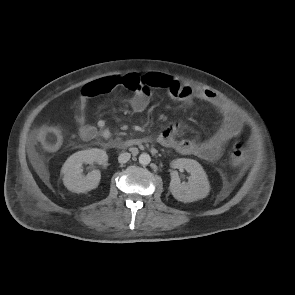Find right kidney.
Listing matches in <instances>:
<instances>
[{
  "instance_id": "right-kidney-1",
  "label": "right kidney",
  "mask_w": 295,
  "mask_h": 295,
  "mask_svg": "<svg viewBox=\"0 0 295 295\" xmlns=\"http://www.w3.org/2000/svg\"><path fill=\"white\" fill-rule=\"evenodd\" d=\"M108 156L104 150L92 148L78 151L71 155L62 167L63 183L66 188L74 193H85L98 187L101 174L93 170L86 176L82 175L83 163L105 164Z\"/></svg>"
}]
</instances>
